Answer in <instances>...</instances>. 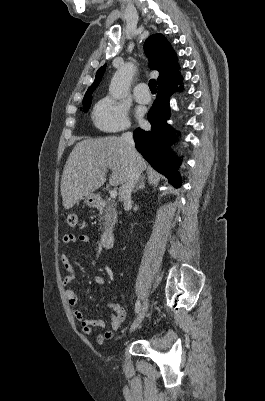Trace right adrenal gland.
Masks as SVG:
<instances>
[{
    "mask_svg": "<svg viewBox=\"0 0 265 401\" xmlns=\"http://www.w3.org/2000/svg\"><path fill=\"white\" fill-rule=\"evenodd\" d=\"M144 180H145V174L144 176H142V178H140L139 184H137L134 192H137V190H140V188H145Z\"/></svg>",
    "mask_w": 265,
    "mask_h": 401,
    "instance_id": "2a0ac1e0",
    "label": "right adrenal gland"
}]
</instances>
